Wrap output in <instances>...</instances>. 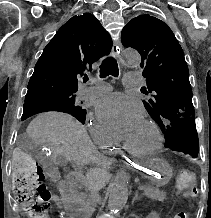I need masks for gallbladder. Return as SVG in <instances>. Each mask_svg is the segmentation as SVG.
Segmentation results:
<instances>
[{"label": "gallbladder", "mask_w": 211, "mask_h": 218, "mask_svg": "<svg viewBox=\"0 0 211 218\" xmlns=\"http://www.w3.org/2000/svg\"><path fill=\"white\" fill-rule=\"evenodd\" d=\"M56 164H58V166H64V164H66L65 158H63V156H58V158H56ZM75 170L79 171L80 167L76 166Z\"/></svg>", "instance_id": "gallbladder-1"}]
</instances>
